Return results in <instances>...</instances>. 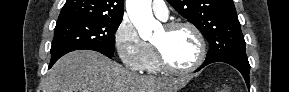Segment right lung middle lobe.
Here are the masks:
<instances>
[{
	"label": "right lung middle lobe",
	"mask_w": 289,
	"mask_h": 92,
	"mask_svg": "<svg viewBox=\"0 0 289 92\" xmlns=\"http://www.w3.org/2000/svg\"><path fill=\"white\" fill-rule=\"evenodd\" d=\"M122 20L69 18L58 20L51 46V60L74 50L88 49L113 56L115 36Z\"/></svg>",
	"instance_id": "1"
}]
</instances>
